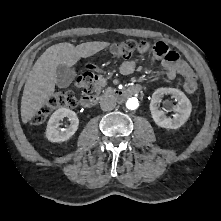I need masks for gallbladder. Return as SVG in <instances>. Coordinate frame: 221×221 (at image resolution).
Segmentation results:
<instances>
[{
  "mask_svg": "<svg viewBox=\"0 0 221 221\" xmlns=\"http://www.w3.org/2000/svg\"><path fill=\"white\" fill-rule=\"evenodd\" d=\"M76 77L74 68L60 64L56 70V85L60 88L68 87Z\"/></svg>",
  "mask_w": 221,
  "mask_h": 221,
  "instance_id": "bac80fb5",
  "label": "gallbladder"
}]
</instances>
